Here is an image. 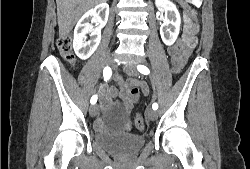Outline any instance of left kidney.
I'll return each instance as SVG.
<instances>
[{
    "instance_id": "1",
    "label": "left kidney",
    "mask_w": 250,
    "mask_h": 169,
    "mask_svg": "<svg viewBox=\"0 0 250 169\" xmlns=\"http://www.w3.org/2000/svg\"><path fill=\"white\" fill-rule=\"evenodd\" d=\"M156 6H162L165 12L163 24L160 26V34L163 42L171 46L174 44L180 30L181 16L175 4L171 0H155Z\"/></svg>"
}]
</instances>
